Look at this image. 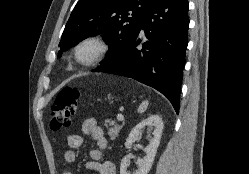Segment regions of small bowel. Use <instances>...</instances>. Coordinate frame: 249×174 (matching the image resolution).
<instances>
[{
    "mask_svg": "<svg viewBox=\"0 0 249 174\" xmlns=\"http://www.w3.org/2000/svg\"><path fill=\"white\" fill-rule=\"evenodd\" d=\"M81 134H70L67 137V143L70 147L64 153V160L66 163H74L77 160V152L84 143V135H89L96 144V149L88 151V156L91 161L84 163V168L87 170H94L98 174H116L115 166L109 161L102 160V151L108 147V141L104 135L103 129L97 125L94 118L85 119L81 125ZM64 174H71L65 172Z\"/></svg>",
    "mask_w": 249,
    "mask_h": 174,
    "instance_id": "c3829d8e",
    "label": "small bowel"
}]
</instances>
